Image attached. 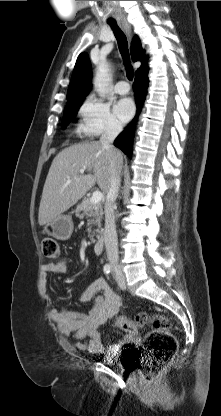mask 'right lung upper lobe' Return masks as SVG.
I'll return each mask as SVG.
<instances>
[{"label": "right lung upper lobe", "instance_id": "cb5924a9", "mask_svg": "<svg viewBox=\"0 0 221 416\" xmlns=\"http://www.w3.org/2000/svg\"><path fill=\"white\" fill-rule=\"evenodd\" d=\"M131 56L133 61L140 60L142 63L140 68H138V70L135 72V75L148 70L147 58L143 52L138 36H135L133 38L131 45ZM90 80L91 65L88 55L85 52H83L78 56L73 70V74L67 92L68 102L84 99V97L90 91Z\"/></svg>", "mask_w": 221, "mask_h": 416}]
</instances>
